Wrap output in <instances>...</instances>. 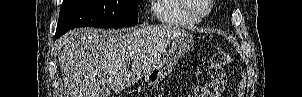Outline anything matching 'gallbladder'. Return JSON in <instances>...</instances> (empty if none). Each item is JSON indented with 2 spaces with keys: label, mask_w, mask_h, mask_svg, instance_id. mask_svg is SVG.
Listing matches in <instances>:
<instances>
[{
  "label": "gallbladder",
  "mask_w": 302,
  "mask_h": 97,
  "mask_svg": "<svg viewBox=\"0 0 302 97\" xmlns=\"http://www.w3.org/2000/svg\"><path fill=\"white\" fill-rule=\"evenodd\" d=\"M110 94V90L108 88H103L101 91H100V95L99 97H108Z\"/></svg>",
  "instance_id": "bac80fb5"
}]
</instances>
